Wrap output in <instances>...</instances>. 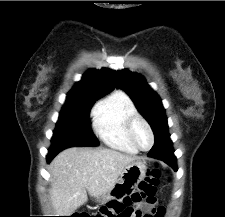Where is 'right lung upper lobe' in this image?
Masks as SVG:
<instances>
[{
  "instance_id": "cb5924a9",
  "label": "right lung upper lobe",
  "mask_w": 225,
  "mask_h": 217,
  "mask_svg": "<svg viewBox=\"0 0 225 217\" xmlns=\"http://www.w3.org/2000/svg\"><path fill=\"white\" fill-rule=\"evenodd\" d=\"M115 76V71L108 68L89 70L84 74L82 80L74 85L67 98L79 96L100 98L114 89Z\"/></svg>"
}]
</instances>
